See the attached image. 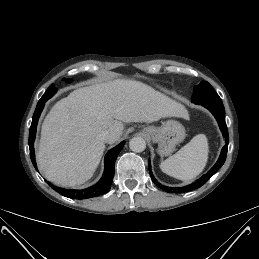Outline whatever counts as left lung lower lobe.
Instances as JSON below:
<instances>
[{
	"instance_id": "obj_1",
	"label": "left lung lower lobe",
	"mask_w": 259,
	"mask_h": 259,
	"mask_svg": "<svg viewBox=\"0 0 259 259\" xmlns=\"http://www.w3.org/2000/svg\"><path fill=\"white\" fill-rule=\"evenodd\" d=\"M198 105H202V106L206 107L213 113V115L217 119L220 129L226 139V145L222 148V151H221V154H220V157H219L217 163L211 168V170L207 174L203 175L201 178H199L194 183L187 185L185 187H181V188L167 187V186L161 185L159 182H157V180L154 178V176L150 170L151 165H150V160H148L150 176H151L152 181L155 184H157L158 187H160L162 190H165L169 193H183V192L191 191V190L201 187L204 183H206L210 179V177L212 175H214L217 172V170L224 164L225 159H226L229 135H228V130H227L226 122H225V109L222 104V101L221 102L199 103Z\"/></svg>"
}]
</instances>
